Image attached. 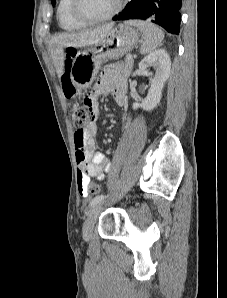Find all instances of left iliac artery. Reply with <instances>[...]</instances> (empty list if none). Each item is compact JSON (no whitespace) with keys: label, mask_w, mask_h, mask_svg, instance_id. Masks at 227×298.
<instances>
[{"label":"left iliac artery","mask_w":227,"mask_h":298,"mask_svg":"<svg viewBox=\"0 0 227 298\" xmlns=\"http://www.w3.org/2000/svg\"><path fill=\"white\" fill-rule=\"evenodd\" d=\"M107 196L105 195H99L96 196L95 198L92 199V201L90 202V206L94 207L95 205H97L100 201L104 200Z\"/></svg>","instance_id":"1"}]
</instances>
